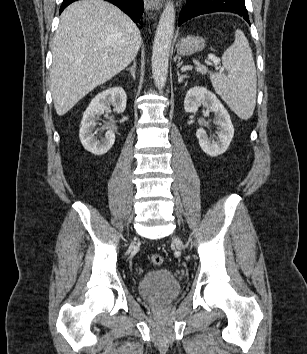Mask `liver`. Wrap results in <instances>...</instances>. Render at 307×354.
<instances>
[{
  "instance_id": "obj_1",
  "label": "liver",
  "mask_w": 307,
  "mask_h": 354,
  "mask_svg": "<svg viewBox=\"0 0 307 354\" xmlns=\"http://www.w3.org/2000/svg\"><path fill=\"white\" fill-rule=\"evenodd\" d=\"M141 35L119 8L103 0H81L60 16L52 43L51 92L56 113L65 115L97 86L137 56Z\"/></svg>"
}]
</instances>
